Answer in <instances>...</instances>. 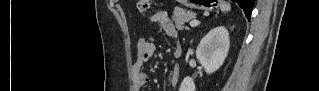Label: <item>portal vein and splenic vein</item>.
Returning a JSON list of instances; mask_svg holds the SVG:
<instances>
[{
    "instance_id": "obj_1",
    "label": "portal vein and splenic vein",
    "mask_w": 319,
    "mask_h": 91,
    "mask_svg": "<svg viewBox=\"0 0 319 91\" xmlns=\"http://www.w3.org/2000/svg\"><path fill=\"white\" fill-rule=\"evenodd\" d=\"M199 24H200V22L197 21V20H192V21H190V23H189V25H190L191 27H196V26H198Z\"/></svg>"
}]
</instances>
